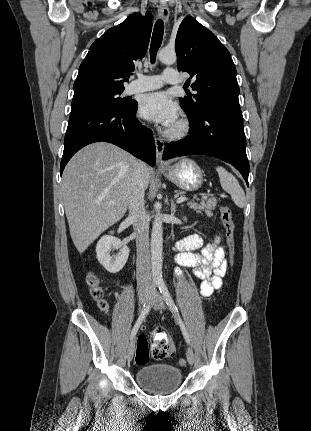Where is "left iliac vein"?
<instances>
[{
    "label": "left iliac vein",
    "instance_id": "obj_1",
    "mask_svg": "<svg viewBox=\"0 0 311 431\" xmlns=\"http://www.w3.org/2000/svg\"><path fill=\"white\" fill-rule=\"evenodd\" d=\"M151 304L155 310L165 309L164 302H163L161 296L159 295V293L157 291H154L152 293ZM186 357H187L188 363L190 365H192L194 363V360H195V356H194V352H193L192 348H190V347L187 348Z\"/></svg>",
    "mask_w": 311,
    "mask_h": 431
}]
</instances>
